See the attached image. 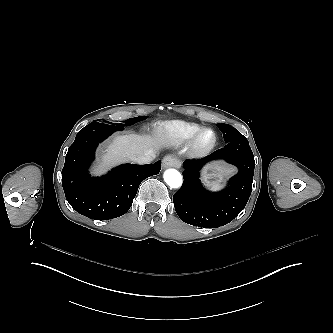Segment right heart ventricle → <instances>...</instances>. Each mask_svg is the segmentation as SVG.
I'll list each match as a JSON object with an SVG mask.
<instances>
[{"mask_svg":"<svg viewBox=\"0 0 333 333\" xmlns=\"http://www.w3.org/2000/svg\"><path fill=\"white\" fill-rule=\"evenodd\" d=\"M200 128L201 126L194 122L173 121L165 125L163 131L173 144L179 145L190 140Z\"/></svg>","mask_w":333,"mask_h":333,"instance_id":"obj_1","label":"right heart ventricle"}]
</instances>
